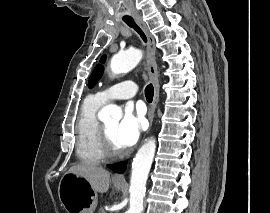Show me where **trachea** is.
<instances>
[{
    "mask_svg": "<svg viewBox=\"0 0 270 213\" xmlns=\"http://www.w3.org/2000/svg\"><path fill=\"white\" fill-rule=\"evenodd\" d=\"M125 23L132 27L143 39L144 42L147 41L145 33L142 31V29L135 23V21L132 18L124 19ZM145 96L148 102H152L153 96H154V87L152 84H149L145 88Z\"/></svg>",
    "mask_w": 270,
    "mask_h": 213,
    "instance_id": "3493384b",
    "label": "trachea"
}]
</instances>
